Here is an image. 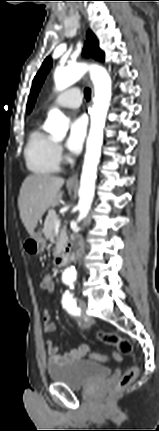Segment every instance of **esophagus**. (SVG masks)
I'll use <instances>...</instances> for the list:
<instances>
[{"label":"esophagus","instance_id":"34e87169","mask_svg":"<svg viewBox=\"0 0 159 431\" xmlns=\"http://www.w3.org/2000/svg\"><path fill=\"white\" fill-rule=\"evenodd\" d=\"M78 177H79V172L77 171L75 174H73L71 177H69V179L67 180V183L68 184L78 183Z\"/></svg>","mask_w":159,"mask_h":431}]
</instances>
